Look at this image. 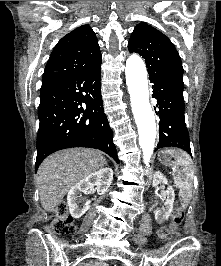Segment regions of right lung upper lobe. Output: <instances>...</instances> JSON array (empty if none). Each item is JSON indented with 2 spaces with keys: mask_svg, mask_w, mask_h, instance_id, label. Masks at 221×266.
I'll use <instances>...</instances> for the list:
<instances>
[{
  "mask_svg": "<svg viewBox=\"0 0 221 266\" xmlns=\"http://www.w3.org/2000/svg\"><path fill=\"white\" fill-rule=\"evenodd\" d=\"M95 33L89 25L78 27L55 46L47 62L42 87H53L101 63Z\"/></svg>",
  "mask_w": 221,
  "mask_h": 266,
  "instance_id": "right-lung-upper-lobe-1",
  "label": "right lung upper lobe"
}]
</instances>
